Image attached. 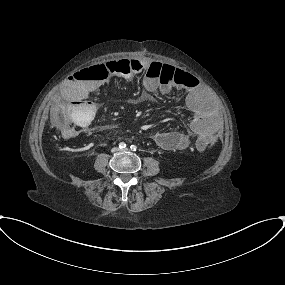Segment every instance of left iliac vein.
<instances>
[{
	"label": "left iliac vein",
	"instance_id": "left-iliac-vein-1",
	"mask_svg": "<svg viewBox=\"0 0 285 285\" xmlns=\"http://www.w3.org/2000/svg\"><path fill=\"white\" fill-rule=\"evenodd\" d=\"M123 151H128V149H123Z\"/></svg>",
	"mask_w": 285,
	"mask_h": 285
}]
</instances>
